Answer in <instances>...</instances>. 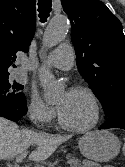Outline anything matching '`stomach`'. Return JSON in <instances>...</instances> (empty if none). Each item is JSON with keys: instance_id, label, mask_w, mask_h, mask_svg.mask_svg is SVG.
<instances>
[{"instance_id": "stomach-1", "label": "stomach", "mask_w": 125, "mask_h": 167, "mask_svg": "<svg viewBox=\"0 0 125 167\" xmlns=\"http://www.w3.org/2000/svg\"><path fill=\"white\" fill-rule=\"evenodd\" d=\"M119 139L107 130H96L79 140V149L83 156L94 162H107L120 151Z\"/></svg>"}]
</instances>
